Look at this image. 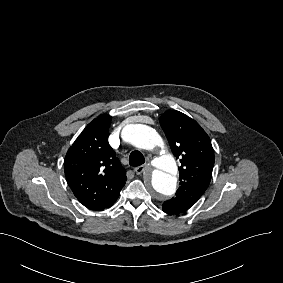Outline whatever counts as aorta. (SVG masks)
<instances>
[{"mask_svg": "<svg viewBox=\"0 0 283 283\" xmlns=\"http://www.w3.org/2000/svg\"><path fill=\"white\" fill-rule=\"evenodd\" d=\"M124 138L135 147L153 150L163 147L164 142L160 135L151 127L143 124L129 125L124 129ZM157 167L152 171L149 185L159 194L171 196L176 191L177 172L176 161L171 154H164L154 161Z\"/></svg>", "mask_w": 283, "mask_h": 283, "instance_id": "1", "label": "aorta"}]
</instances>
